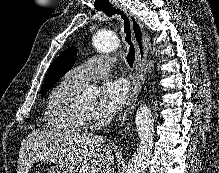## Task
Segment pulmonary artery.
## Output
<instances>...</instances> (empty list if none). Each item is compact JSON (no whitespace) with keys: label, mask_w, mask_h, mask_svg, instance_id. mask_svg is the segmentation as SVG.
Masks as SVG:
<instances>
[{"label":"pulmonary artery","mask_w":219,"mask_h":173,"mask_svg":"<svg viewBox=\"0 0 219 173\" xmlns=\"http://www.w3.org/2000/svg\"><path fill=\"white\" fill-rule=\"evenodd\" d=\"M114 62L115 60L113 58L96 55L71 69L66 77L70 81L84 86L91 79L106 76L111 71Z\"/></svg>","instance_id":"obj_1"}]
</instances>
